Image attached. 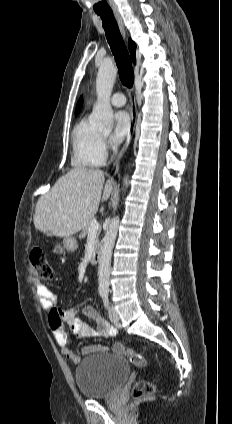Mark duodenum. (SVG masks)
Masks as SVG:
<instances>
[{"label": "duodenum", "instance_id": "410a0bca", "mask_svg": "<svg viewBox=\"0 0 232 424\" xmlns=\"http://www.w3.org/2000/svg\"><path fill=\"white\" fill-rule=\"evenodd\" d=\"M100 256H101V247H100V245H97L93 249V252H92V255H91V259H90V263L92 265L98 264L99 261H100Z\"/></svg>", "mask_w": 232, "mask_h": 424}]
</instances>
